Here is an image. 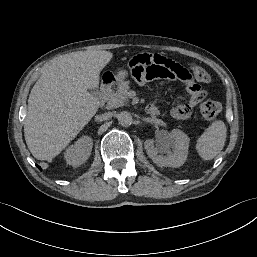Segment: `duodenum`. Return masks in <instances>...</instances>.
Masks as SVG:
<instances>
[{"instance_id": "410a0bca", "label": "duodenum", "mask_w": 257, "mask_h": 257, "mask_svg": "<svg viewBox=\"0 0 257 257\" xmlns=\"http://www.w3.org/2000/svg\"><path fill=\"white\" fill-rule=\"evenodd\" d=\"M113 86V77H107L104 78L100 87V92H99V104L103 105L105 103V101L108 99L111 89ZM146 111L148 114L150 115H157L158 110L156 109V107L152 106V105H148L146 108Z\"/></svg>"}]
</instances>
